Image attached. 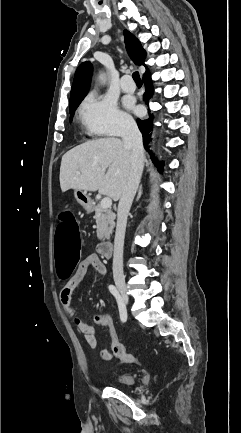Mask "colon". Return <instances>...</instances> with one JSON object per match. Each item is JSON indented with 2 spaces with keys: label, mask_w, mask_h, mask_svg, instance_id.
<instances>
[{
  "label": "colon",
  "mask_w": 241,
  "mask_h": 433,
  "mask_svg": "<svg viewBox=\"0 0 241 433\" xmlns=\"http://www.w3.org/2000/svg\"><path fill=\"white\" fill-rule=\"evenodd\" d=\"M58 225L53 227V249L56 252L55 272H59L61 278H66L70 272H74L76 262L79 261L80 231L79 221L70 212H57ZM94 323L100 319V314H94ZM114 357L124 363H133L135 358L125 350L123 344L117 340L111 344Z\"/></svg>",
  "instance_id": "1"
}]
</instances>
